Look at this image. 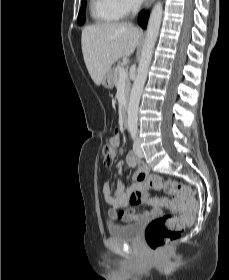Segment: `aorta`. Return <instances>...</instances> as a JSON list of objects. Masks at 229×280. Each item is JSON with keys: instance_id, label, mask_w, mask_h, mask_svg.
Listing matches in <instances>:
<instances>
[{"instance_id": "762f6f07", "label": "aorta", "mask_w": 229, "mask_h": 280, "mask_svg": "<svg viewBox=\"0 0 229 280\" xmlns=\"http://www.w3.org/2000/svg\"><path fill=\"white\" fill-rule=\"evenodd\" d=\"M163 8L160 2L156 3L152 9L146 37L142 48V53L137 68V75L131 90L128 106V130L136 131L138 125V108L144 84L147 79L148 70L151 64L153 50L160 30Z\"/></svg>"}]
</instances>
